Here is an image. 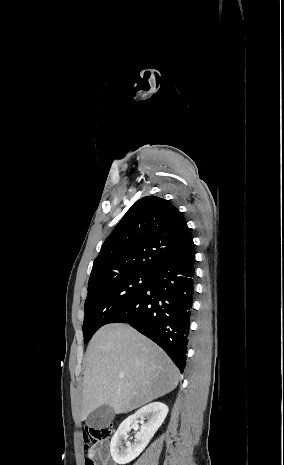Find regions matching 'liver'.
I'll return each mask as SVG.
<instances>
[{
	"label": "liver",
	"mask_w": 284,
	"mask_h": 465,
	"mask_svg": "<svg viewBox=\"0 0 284 465\" xmlns=\"http://www.w3.org/2000/svg\"><path fill=\"white\" fill-rule=\"evenodd\" d=\"M178 383L177 367L155 343L129 325H105L86 351L80 421L102 405L117 415L129 413L167 395Z\"/></svg>",
	"instance_id": "1"
}]
</instances>
